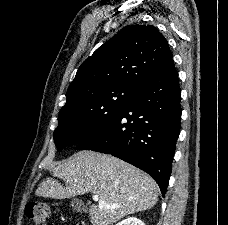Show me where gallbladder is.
I'll return each mask as SVG.
<instances>
[{"label":"gallbladder","mask_w":228,"mask_h":225,"mask_svg":"<svg viewBox=\"0 0 228 225\" xmlns=\"http://www.w3.org/2000/svg\"><path fill=\"white\" fill-rule=\"evenodd\" d=\"M70 207H72L74 211H77V213H82V211H86V205H84L81 199H71Z\"/></svg>","instance_id":"bac80fb5"}]
</instances>
